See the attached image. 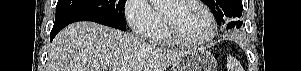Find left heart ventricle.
I'll return each instance as SVG.
<instances>
[{
	"label": "left heart ventricle",
	"mask_w": 301,
	"mask_h": 71,
	"mask_svg": "<svg viewBox=\"0 0 301 71\" xmlns=\"http://www.w3.org/2000/svg\"><path fill=\"white\" fill-rule=\"evenodd\" d=\"M162 10L187 39L201 40L210 31V22L206 13L195 4L165 1Z\"/></svg>",
	"instance_id": "obj_1"
}]
</instances>
